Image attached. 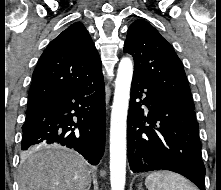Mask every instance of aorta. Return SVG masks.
I'll return each instance as SVG.
<instances>
[{
  "label": "aorta",
  "instance_id": "762f6f07",
  "mask_svg": "<svg viewBox=\"0 0 221 190\" xmlns=\"http://www.w3.org/2000/svg\"><path fill=\"white\" fill-rule=\"evenodd\" d=\"M133 64L121 59L115 81L110 122V182L111 190H124L126 180V121L130 97Z\"/></svg>",
  "mask_w": 221,
  "mask_h": 190
}]
</instances>
